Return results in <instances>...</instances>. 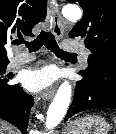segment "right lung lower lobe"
<instances>
[{
  "instance_id": "98d812e1",
  "label": "right lung lower lobe",
  "mask_w": 116,
  "mask_h": 134,
  "mask_svg": "<svg viewBox=\"0 0 116 134\" xmlns=\"http://www.w3.org/2000/svg\"><path fill=\"white\" fill-rule=\"evenodd\" d=\"M33 98L17 84L12 93L0 97V118L15 125L26 134Z\"/></svg>"
}]
</instances>
